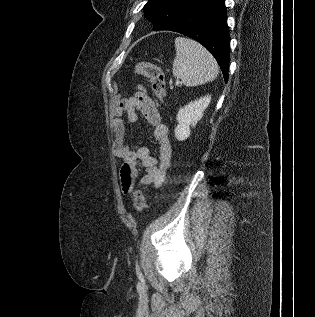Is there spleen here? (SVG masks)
<instances>
[{
	"label": "spleen",
	"instance_id": "1",
	"mask_svg": "<svg viewBox=\"0 0 315 317\" xmlns=\"http://www.w3.org/2000/svg\"><path fill=\"white\" fill-rule=\"evenodd\" d=\"M175 49L172 71L184 85L193 87L215 80L218 64L201 44L192 39L177 37Z\"/></svg>",
	"mask_w": 315,
	"mask_h": 317
}]
</instances>
